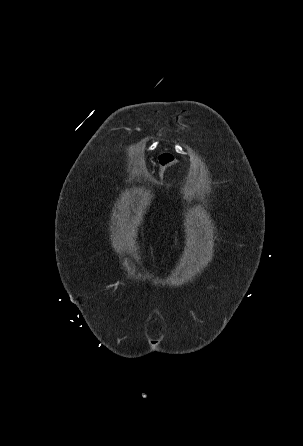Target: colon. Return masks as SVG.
<instances>
[{
    "mask_svg": "<svg viewBox=\"0 0 303 446\" xmlns=\"http://www.w3.org/2000/svg\"><path fill=\"white\" fill-rule=\"evenodd\" d=\"M177 164V160L171 153H162L159 157V167H158V179L160 182L166 176L169 167L175 166Z\"/></svg>",
    "mask_w": 303,
    "mask_h": 446,
    "instance_id": "obj_1",
    "label": "colon"
}]
</instances>
